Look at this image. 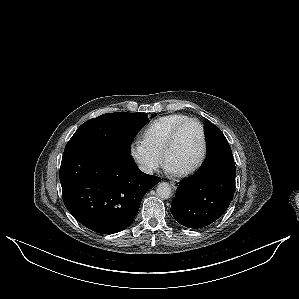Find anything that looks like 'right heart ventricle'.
Masks as SVG:
<instances>
[{
  "instance_id": "right-heart-ventricle-1",
  "label": "right heart ventricle",
  "mask_w": 299,
  "mask_h": 299,
  "mask_svg": "<svg viewBox=\"0 0 299 299\" xmlns=\"http://www.w3.org/2000/svg\"><path fill=\"white\" fill-rule=\"evenodd\" d=\"M190 118L184 114H171L159 118L144 134V143L154 155H162L171 133Z\"/></svg>"
}]
</instances>
